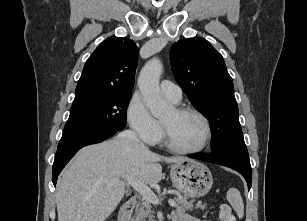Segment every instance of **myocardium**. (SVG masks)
<instances>
[{"mask_svg":"<svg viewBox=\"0 0 307 221\" xmlns=\"http://www.w3.org/2000/svg\"><path fill=\"white\" fill-rule=\"evenodd\" d=\"M174 110L178 114H193V115L197 116L202 121V123L204 125V130H205L204 137H203V140L200 143V145L197 146V147H194V148L177 147L172 143V141L170 139L169 131H168L166 125L162 122L164 145L170 151H172L174 153H178V154H184V155L196 154V153L203 151L209 145L211 137H212V127H211V123H210V120L208 119V117L203 112H201L200 110L193 108V107H189V106L176 107Z\"/></svg>","mask_w":307,"mask_h":221,"instance_id":"myocardium-1","label":"myocardium"}]
</instances>
